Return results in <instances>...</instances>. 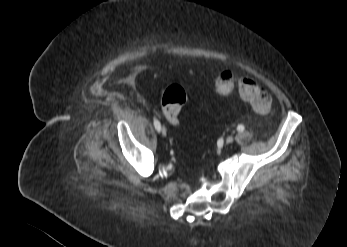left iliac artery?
<instances>
[{
    "instance_id": "1",
    "label": "left iliac artery",
    "mask_w": 347,
    "mask_h": 247,
    "mask_svg": "<svg viewBox=\"0 0 347 247\" xmlns=\"http://www.w3.org/2000/svg\"><path fill=\"white\" fill-rule=\"evenodd\" d=\"M244 129H245L244 126L241 125V124L237 126V130H238L239 132H243Z\"/></svg>"
}]
</instances>
